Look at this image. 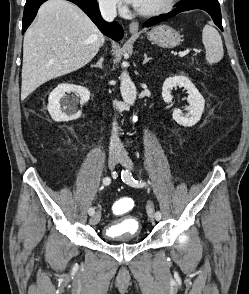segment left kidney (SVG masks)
Segmentation results:
<instances>
[{
  "instance_id": "5707ae66",
  "label": "left kidney",
  "mask_w": 249,
  "mask_h": 294,
  "mask_svg": "<svg viewBox=\"0 0 249 294\" xmlns=\"http://www.w3.org/2000/svg\"><path fill=\"white\" fill-rule=\"evenodd\" d=\"M184 87L188 92L187 102L189 106L186 108L188 113L184 115L180 109L173 110V119L182 126L191 127L194 126L202 116L204 111L205 100L200 94L195 85L184 75H177L168 77L162 87V97L166 103H170L172 100L171 91L173 87Z\"/></svg>"
}]
</instances>
